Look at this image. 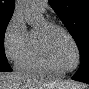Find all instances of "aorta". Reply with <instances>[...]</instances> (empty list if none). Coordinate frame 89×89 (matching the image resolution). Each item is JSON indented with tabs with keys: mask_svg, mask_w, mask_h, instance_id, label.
I'll list each match as a JSON object with an SVG mask.
<instances>
[{
	"mask_svg": "<svg viewBox=\"0 0 89 89\" xmlns=\"http://www.w3.org/2000/svg\"><path fill=\"white\" fill-rule=\"evenodd\" d=\"M18 7L30 26H36L41 22L43 17L36 7L35 0H19Z\"/></svg>",
	"mask_w": 89,
	"mask_h": 89,
	"instance_id": "1",
	"label": "aorta"
}]
</instances>
